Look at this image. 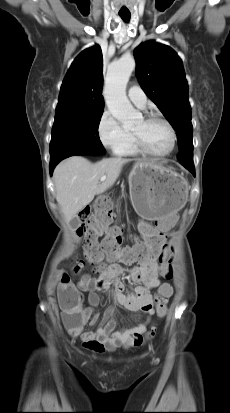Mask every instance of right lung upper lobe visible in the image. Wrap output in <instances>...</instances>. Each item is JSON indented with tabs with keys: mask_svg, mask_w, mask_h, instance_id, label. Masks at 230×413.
<instances>
[{
	"mask_svg": "<svg viewBox=\"0 0 230 413\" xmlns=\"http://www.w3.org/2000/svg\"><path fill=\"white\" fill-rule=\"evenodd\" d=\"M102 70L103 58L99 45L82 51L63 80L55 116L103 112Z\"/></svg>",
	"mask_w": 230,
	"mask_h": 413,
	"instance_id": "1",
	"label": "right lung upper lobe"
}]
</instances>
